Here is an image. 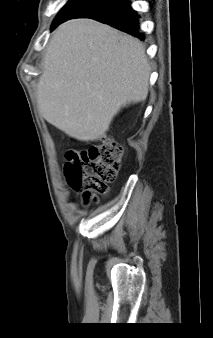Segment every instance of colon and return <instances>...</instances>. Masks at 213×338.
I'll return each instance as SVG.
<instances>
[{"mask_svg": "<svg viewBox=\"0 0 213 338\" xmlns=\"http://www.w3.org/2000/svg\"><path fill=\"white\" fill-rule=\"evenodd\" d=\"M122 147L110 138L86 149L70 150L63 167L64 178L74 191H86L85 201H97V196L107 193L108 185L120 171Z\"/></svg>", "mask_w": 213, "mask_h": 338, "instance_id": "colon-1", "label": "colon"}]
</instances>
